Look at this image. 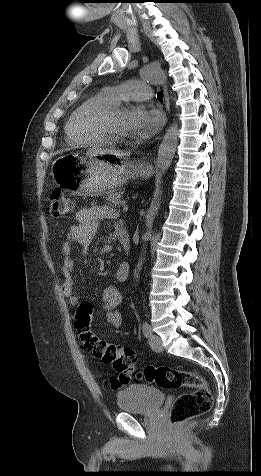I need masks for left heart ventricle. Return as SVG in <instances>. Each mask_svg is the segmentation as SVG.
<instances>
[{"label":"left heart ventricle","mask_w":261,"mask_h":476,"mask_svg":"<svg viewBox=\"0 0 261 476\" xmlns=\"http://www.w3.org/2000/svg\"><path fill=\"white\" fill-rule=\"evenodd\" d=\"M127 110L116 113L111 119V126L115 131L122 135H129V129L126 121Z\"/></svg>","instance_id":"b2bd125f"}]
</instances>
